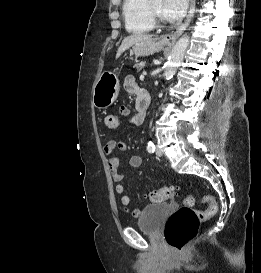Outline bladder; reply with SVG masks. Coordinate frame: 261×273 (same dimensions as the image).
I'll return each mask as SVG.
<instances>
[{"label": "bladder", "instance_id": "obj_1", "mask_svg": "<svg viewBox=\"0 0 261 273\" xmlns=\"http://www.w3.org/2000/svg\"><path fill=\"white\" fill-rule=\"evenodd\" d=\"M168 211L169 205L166 203L146 205L137 221L138 228L148 234H157Z\"/></svg>", "mask_w": 261, "mask_h": 273}]
</instances>
